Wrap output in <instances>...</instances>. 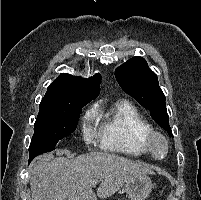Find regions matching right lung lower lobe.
<instances>
[{
	"mask_svg": "<svg viewBox=\"0 0 201 200\" xmlns=\"http://www.w3.org/2000/svg\"><path fill=\"white\" fill-rule=\"evenodd\" d=\"M31 149L33 148H29V163L36 157L35 154H32ZM35 149L37 150V153H44V152H50L52 150L55 149V146H36Z\"/></svg>",
	"mask_w": 201,
	"mask_h": 200,
	"instance_id": "98d812e1",
	"label": "right lung lower lobe"
}]
</instances>
